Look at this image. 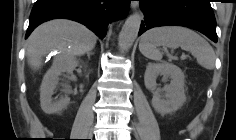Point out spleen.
Listing matches in <instances>:
<instances>
[{
	"label": "spleen",
	"mask_w": 236,
	"mask_h": 140,
	"mask_svg": "<svg viewBox=\"0 0 236 140\" xmlns=\"http://www.w3.org/2000/svg\"><path fill=\"white\" fill-rule=\"evenodd\" d=\"M172 49L181 47L196 57L199 65L206 69H213L215 52L211 45L199 34L191 29L180 26H164L150 29L141 38L140 52L154 61H161L162 53L158 46Z\"/></svg>",
	"instance_id": "1"
}]
</instances>
